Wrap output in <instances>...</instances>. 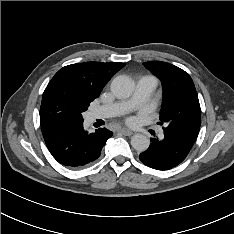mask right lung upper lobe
<instances>
[{
  "label": "right lung upper lobe",
  "mask_w": 234,
  "mask_h": 234,
  "mask_svg": "<svg viewBox=\"0 0 234 234\" xmlns=\"http://www.w3.org/2000/svg\"><path fill=\"white\" fill-rule=\"evenodd\" d=\"M124 63L85 62L60 69L46 88L59 87L66 93L93 101L105 84L120 70Z\"/></svg>",
  "instance_id": "right-lung-upper-lobe-1"
}]
</instances>
